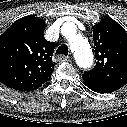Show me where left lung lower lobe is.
I'll use <instances>...</instances> for the list:
<instances>
[{"instance_id":"left-lung-lower-lobe-1","label":"left lung lower lobe","mask_w":127,"mask_h":127,"mask_svg":"<svg viewBox=\"0 0 127 127\" xmlns=\"http://www.w3.org/2000/svg\"><path fill=\"white\" fill-rule=\"evenodd\" d=\"M84 80V84L91 89L94 92L97 93H111L117 89H119L117 86L112 85L107 82L98 81V80Z\"/></svg>"}]
</instances>
